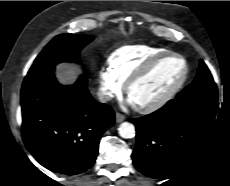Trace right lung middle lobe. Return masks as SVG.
<instances>
[{
	"label": "right lung middle lobe",
	"mask_w": 230,
	"mask_h": 186,
	"mask_svg": "<svg viewBox=\"0 0 230 186\" xmlns=\"http://www.w3.org/2000/svg\"><path fill=\"white\" fill-rule=\"evenodd\" d=\"M93 40L90 35L61 34L52 39L35 59L29 74L43 72L66 61L79 62L80 50Z\"/></svg>",
	"instance_id": "dd1d6c3e"
}]
</instances>
